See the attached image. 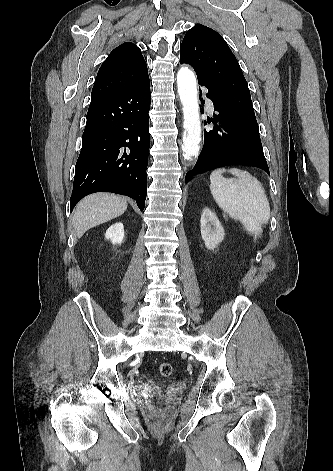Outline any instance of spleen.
Wrapping results in <instances>:
<instances>
[{"instance_id":"spleen-1","label":"spleen","mask_w":333,"mask_h":471,"mask_svg":"<svg viewBox=\"0 0 333 471\" xmlns=\"http://www.w3.org/2000/svg\"><path fill=\"white\" fill-rule=\"evenodd\" d=\"M229 172L234 178L226 179ZM210 190L218 206L232 219L242 223L254 236L270 219V206L261 183L249 172L238 168L216 169L210 175Z\"/></svg>"}]
</instances>
